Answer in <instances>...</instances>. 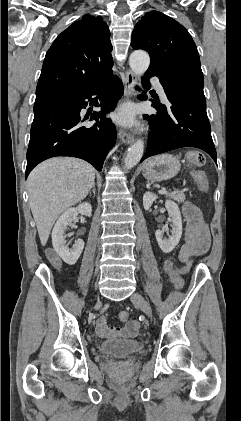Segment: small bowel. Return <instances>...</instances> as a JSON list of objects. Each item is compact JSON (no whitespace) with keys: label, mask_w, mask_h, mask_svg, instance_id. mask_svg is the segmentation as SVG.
Returning <instances> with one entry per match:
<instances>
[{"label":"small bowel","mask_w":241,"mask_h":421,"mask_svg":"<svg viewBox=\"0 0 241 421\" xmlns=\"http://www.w3.org/2000/svg\"><path fill=\"white\" fill-rule=\"evenodd\" d=\"M186 218L184 244L179 251V259L183 262L206 253L210 246V234L207 225L201 217L199 209L189 201L182 208ZM139 330L136 320L126 322L123 327L108 325L107 314L100 316L96 322V332L102 338H133Z\"/></svg>","instance_id":"small-bowel-1"}]
</instances>
